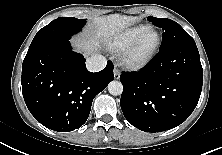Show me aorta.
<instances>
[{
    "mask_svg": "<svg viewBox=\"0 0 222 155\" xmlns=\"http://www.w3.org/2000/svg\"><path fill=\"white\" fill-rule=\"evenodd\" d=\"M108 91L110 94L115 95V96L121 95L123 92V85L119 81H111L108 84Z\"/></svg>",
    "mask_w": 222,
    "mask_h": 155,
    "instance_id": "1",
    "label": "aorta"
}]
</instances>
